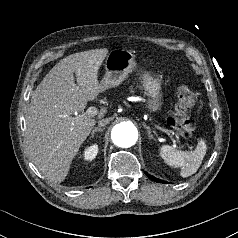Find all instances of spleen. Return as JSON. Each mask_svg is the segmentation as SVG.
<instances>
[{"label":"spleen","mask_w":238,"mask_h":238,"mask_svg":"<svg viewBox=\"0 0 238 238\" xmlns=\"http://www.w3.org/2000/svg\"><path fill=\"white\" fill-rule=\"evenodd\" d=\"M205 140L200 139L194 151H179L172 146L163 145L160 148V156L164 162L172 167L181 168L180 175L188 177L197 172L206 154Z\"/></svg>","instance_id":"obj_1"}]
</instances>
